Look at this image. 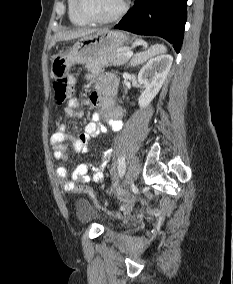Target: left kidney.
Returning a JSON list of instances; mask_svg holds the SVG:
<instances>
[{"label":"left kidney","mask_w":233,"mask_h":284,"mask_svg":"<svg viewBox=\"0 0 233 284\" xmlns=\"http://www.w3.org/2000/svg\"><path fill=\"white\" fill-rule=\"evenodd\" d=\"M173 57L162 54L151 58L139 71L138 82L144 86L138 104L147 107L161 89L172 65Z\"/></svg>","instance_id":"left-kidney-1"}]
</instances>
